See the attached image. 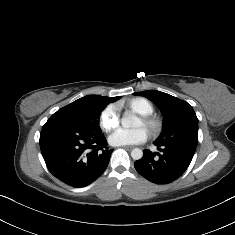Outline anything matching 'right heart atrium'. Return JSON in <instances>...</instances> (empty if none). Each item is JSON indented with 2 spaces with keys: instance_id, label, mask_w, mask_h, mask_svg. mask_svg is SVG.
Returning <instances> with one entry per match:
<instances>
[{
  "instance_id": "right-heart-atrium-1",
  "label": "right heart atrium",
  "mask_w": 235,
  "mask_h": 235,
  "mask_svg": "<svg viewBox=\"0 0 235 235\" xmlns=\"http://www.w3.org/2000/svg\"><path fill=\"white\" fill-rule=\"evenodd\" d=\"M119 123L120 115L118 106L113 103L107 104L102 109L98 117V124L100 128L105 132H109L118 127Z\"/></svg>"
}]
</instances>
